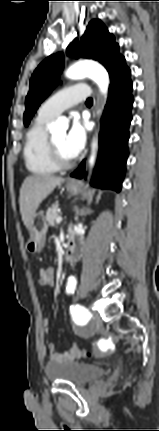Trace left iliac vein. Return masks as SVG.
<instances>
[{
	"label": "left iliac vein",
	"mask_w": 159,
	"mask_h": 431,
	"mask_svg": "<svg viewBox=\"0 0 159 431\" xmlns=\"http://www.w3.org/2000/svg\"><path fill=\"white\" fill-rule=\"evenodd\" d=\"M92 324L94 325H100L101 324V318L98 313L92 314Z\"/></svg>",
	"instance_id": "1"
}]
</instances>
